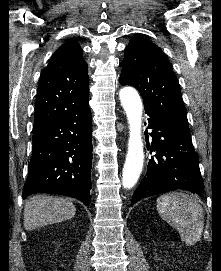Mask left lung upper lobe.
<instances>
[{
  "label": "left lung upper lobe",
  "mask_w": 221,
  "mask_h": 271,
  "mask_svg": "<svg viewBox=\"0 0 221 271\" xmlns=\"http://www.w3.org/2000/svg\"><path fill=\"white\" fill-rule=\"evenodd\" d=\"M121 85L141 94L144 108L189 131L178 81L162 50L143 36L133 37L125 49Z\"/></svg>",
  "instance_id": "5c2ea615"
}]
</instances>
